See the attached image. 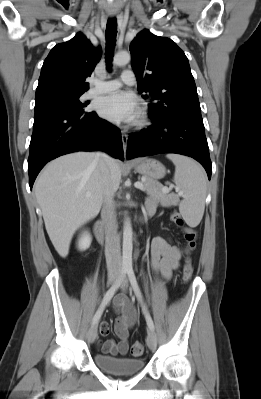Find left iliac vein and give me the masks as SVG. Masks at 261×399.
Returning <instances> with one entry per match:
<instances>
[{"instance_id":"1","label":"left iliac vein","mask_w":261,"mask_h":399,"mask_svg":"<svg viewBox=\"0 0 261 399\" xmlns=\"http://www.w3.org/2000/svg\"><path fill=\"white\" fill-rule=\"evenodd\" d=\"M127 287H128V279L125 278V279L123 280V283H122V285H121V288H122L123 290H125ZM146 342H147L148 347H149L151 350H154V349L156 348V345H157L156 335H155V333H154L152 330H150V331L148 332V335H147V338H146Z\"/></svg>"}]
</instances>
